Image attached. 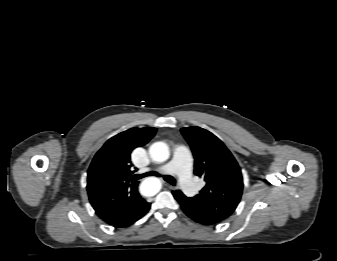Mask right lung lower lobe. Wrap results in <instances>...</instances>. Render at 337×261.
I'll use <instances>...</instances> for the list:
<instances>
[{
	"instance_id": "right-lung-lower-lobe-1",
	"label": "right lung lower lobe",
	"mask_w": 337,
	"mask_h": 261,
	"mask_svg": "<svg viewBox=\"0 0 337 261\" xmlns=\"http://www.w3.org/2000/svg\"><path fill=\"white\" fill-rule=\"evenodd\" d=\"M150 209V203H147L144 201V204L140 207V210L138 212H135L134 214H130L126 216L125 218L119 219L118 221L111 223L112 226L116 228H123L128 227L132 225L134 222L139 220L141 217H143L148 210Z\"/></svg>"
}]
</instances>
